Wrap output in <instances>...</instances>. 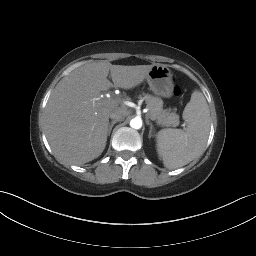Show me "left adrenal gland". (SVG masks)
Here are the masks:
<instances>
[{
    "label": "left adrenal gland",
    "mask_w": 256,
    "mask_h": 256,
    "mask_svg": "<svg viewBox=\"0 0 256 256\" xmlns=\"http://www.w3.org/2000/svg\"><path fill=\"white\" fill-rule=\"evenodd\" d=\"M146 124L150 126V130H149V135L148 137L151 138L153 135H152V132H153V124L148 120V118H146Z\"/></svg>",
    "instance_id": "obj_1"
}]
</instances>
